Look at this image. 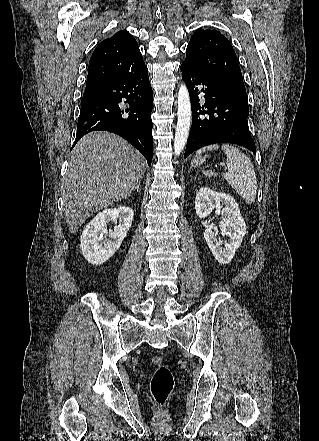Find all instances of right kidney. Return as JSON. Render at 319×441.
<instances>
[{"label": "right kidney", "mask_w": 319, "mask_h": 441, "mask_svg": "<svg viewBox=\"0 0 319 441\" xmlns=\"http://www.w3.org/2000/svg\"><path fill=\"white\" fill-rule=\"evenodd\" d=\"M133 215L132 208L121 206L106 209L95 216L80 238V248L85 259L95 265L109 260L126 237ZM110 223L116 224L113 231L107 228Z\"/></svg>", "instance_id": "right-kidney-1"}]
</instances>
